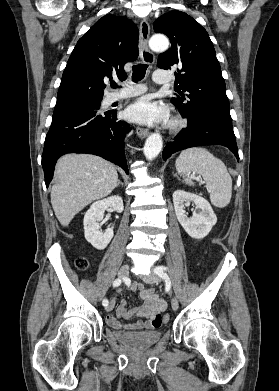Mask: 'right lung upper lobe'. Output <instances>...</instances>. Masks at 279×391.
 <instances>
[{
    "mask_svg": "<svg viewBox=\"0 0 279 391\" xmlns=\"http://www.w3.org/2000/svg\"><path fill=\"white\" fill-rule=\"evenodd\" d=\"M138 34L137 26L125 17L108 14L99 19L70 55L54 110L101 101L106 78L127 77L124 65L138 57Z\"/></svg>",
    "mask_w": 279,
    "mask_h": 391,
    "instance_id": "1",
    "label": "right lung upper lobe"
}]
</instances>
